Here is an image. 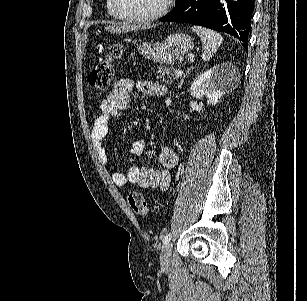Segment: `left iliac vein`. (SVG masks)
Returning a JSON list of instances; mask_svg holds the SVG:
<instances>
[{"label":"left iliac vein","instance_id":"1","mask_svg":"<svg viewBox=\"0 0 307 301\" xmlns=\"http://www.w3.org/2000/svg\"><path fill=\"white\" fill-rule=\"evenodd\" d=\"M171 254H172V243L167 242L163 246L160 254V263L162 267L167 268L170 265Z\"/></svg>","mask_w":307,"mask_h":301}]
</instances>
